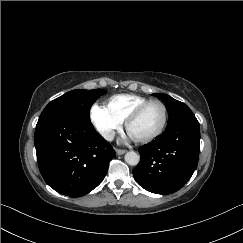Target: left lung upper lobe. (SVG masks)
Segmentation results:
<instances>
[{
	"instance_id": "obj_1",
	"label": "left lung upper lobe",
	"mask_w": 243,
	"mask_h": 243,
	"mask_svg": "<svg viewBox=\"0 0 243 243\" xmlns=\"http://www.w3.org/2000/svg\"><path fill=\"white\" fill-rule=\"evenodd\" d=\"M153 95L160 97L165 102L169 117L166 128L171 127L189 115H194L190 108L183 102H180L166 94L158 93Z\"/></svg>"
}]
</instances>
